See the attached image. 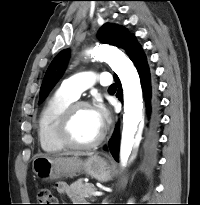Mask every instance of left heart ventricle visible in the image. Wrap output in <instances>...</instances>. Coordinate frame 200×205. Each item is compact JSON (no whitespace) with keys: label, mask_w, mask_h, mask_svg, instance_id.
Segmentation results:
<instances>
[{"label":"left heart ventricle","mask_w":200,"mask_h":205,"mask_svg":"<svg viewBox=\"0 0 200 205\" xmlns=\"http://www.w3.org/2000/svg\"><path fill=\"white\" fill-rule=\"evenodd\" d=\"M102 130L92 109L80 108L71 123V136L79 143H88L96 139Z\"/></svg>","instance_id":"left-heart-ventricle-1"}]
</instances>
